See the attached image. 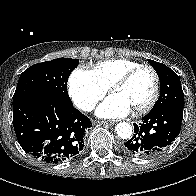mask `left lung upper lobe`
I'll list each match as a JSON object with an SVG mask.
<instances>
[{"instance_id":"5c2ea615","label":"left lung upper lobe","mask_w":196,"mask_h":196,"mask_svg":"<svg viewBox=\"0 0 196 196\" xmlns=\"http://www.w3.org/2000/svg\"><path fill=\"white\" fill-rule=\"evenodd\" d=\"M148 62L157 72L161 84L160 96L151 111L163 108L183 111L184 93L178 75L162 63L153 60Z\"/></svg>"}]
</instances>
